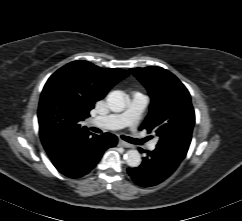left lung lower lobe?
I'll return each instance as SVG.
<instances>
[{
  "instance_id": "1",
  "label": "left lung lower lobe",
  "mask_w": 242,
  "mask_h": 221,
  "mask_svg": "<svg viewBox=\"0 0 242 221\" xmlns=\"http://www.w3.org/2000/svg\"><path fill=\"white\" fill-rule=\"evenodd\" d=\"M140 152H143L140 149ZM147 156L139 167L128 168L127 171L133 181L142 186L150 187L163 182L180 165L184 159L173 150L157 146L153 151H146Z\"/></svg>"
}]
</instances>
